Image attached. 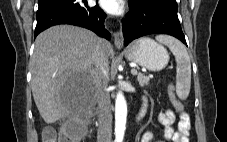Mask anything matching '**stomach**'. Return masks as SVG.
Segmentation results:
<instances>
[{
  "label": "stomach",
  "mask_w": 227,
  "mask_h": 142,
  "mask_svg": "<svg viewBox=\"0 0 227 142\" xmlns=\"http://www.w3.org/2000/svg\"><path fill=\"white\" fill-rule=\"evenodd\" d=\"M125 55L129 61L135 62L150 71H160L169 62L167 50L147 37L133 42L125 51Z\"/></svg>",
  "instance_id": "stomach-1"
}]
</instances>
